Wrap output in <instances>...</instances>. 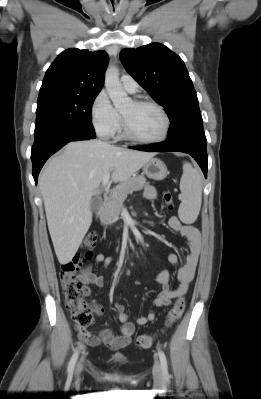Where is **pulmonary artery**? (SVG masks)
I'll return each mask as SVG.
<instances>
[{"label": "pulmonary artery", "instance_id": "e3ab8cb5", "mask_svg": "<svg viewBox=\"0 0 261 399\" xmlns=\"http://www.w3.org/2000/svg\"><path fill=\"white\" fill-rule=\"evenodd\" d=\"M121 83L123 88L130 93H134L137 90L138 84L130 75H122Z\"/></svg>", "mask_w": 261, "mask_h": 399}]
</instances>
